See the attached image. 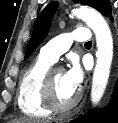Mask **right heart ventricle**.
<instances>
[{"label":"right heart ventricle","mask_w":118,"mask_h":123,"mask_svg":"<svg viewBox=\"0 0 118 123\" xmlns=\"http://www.w3.org/2000/svg\"><path fill=\"white\" fill-rule=\"evenodd\" d=\"M52 63L39 56L20 79L17 104L21 112L29 117L44 118L50 115L42 101V81Z\"/></svg>","instance_id":"e07e8e85"}]
</instances>
